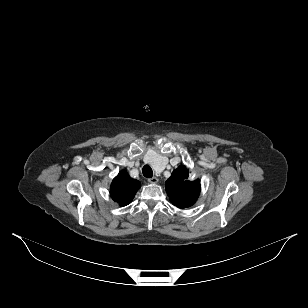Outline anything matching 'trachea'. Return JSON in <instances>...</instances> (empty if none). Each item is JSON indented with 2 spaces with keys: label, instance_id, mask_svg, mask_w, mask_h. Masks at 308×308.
Returning <instances> with one entry per match:
<instances>
[{
  "label": "trachea",
  "instance_id": "1",
  "mask_svg": "<svg viewBox=\"0 0 308 308\" xmlns=\"http://www.w3.org/2000/svg\"><path fill=\"white\" fill-rule=\"evenodd\" d=\"M143 175L147 178H151L153 176V171L149 165H145L142 169Z\"/></svg>",
  "mask_w": 308,
  "mask_h": 308
}]
</instances>
